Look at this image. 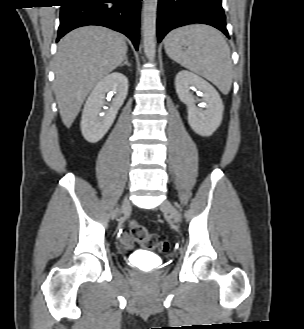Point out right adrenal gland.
Instances as JSON below:
<instances>
[{"label": "right adrenal gland", "mask_w": 304, "mask_h": 329, "mask_svg": "<svg viewBox=\"0 0 304 329\" xmlns=\"http://www.w3.org/2000/svg\"><path fill=\"white\" fill-rule=\"evenodd\" d=\"M124 65H127L128 67L131 66L130 63L128 62V58H127V57L124 59V62H123L122 64H120L119 67H122V66H124Z\"/></svg>", "instance_id": "right-adrenal-gland-1"}]
</instances>
